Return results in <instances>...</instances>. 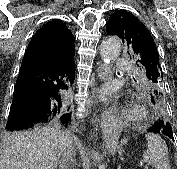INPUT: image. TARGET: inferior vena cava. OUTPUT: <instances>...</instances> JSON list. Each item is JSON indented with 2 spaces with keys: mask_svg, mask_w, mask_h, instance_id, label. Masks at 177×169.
Instances as JSON below:
<instances>
[{
  "mask_svg": "<svg viewBox=\"0 0 177 169\" xmlns=\"http://www.w3.org/2000/svg\"><path fill=\"white\" fill-rule=\"evenodd\" d=\"M59 152L62 153V160L61 164H65L68 161H72V138L69 135H65L63 139L61 140L59 147Z\"/></svg>",
  "mask_w": 177,
  "mask_h": 169,
  "instance_id": "602c4592",
  "label": "inferior vena cava"
}]
</instances>
